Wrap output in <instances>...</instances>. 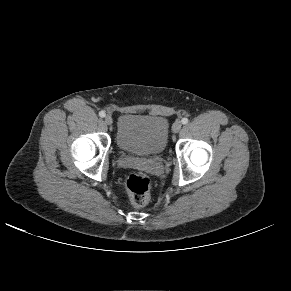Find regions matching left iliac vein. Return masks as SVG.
<instances>
[{"label":"left iliac vein","mask_w":291,"mask_h":291,"mask_svg":"<svg viewBox=\"0 0 291 291\" xmlns=\"http://www.w3.org/2000/svg\"><path fill=\"white\" fill-rule=\"evenodd\" d=\"M182 124L180 121H176L172 126V131L178 133L181 130Z\"/></svg>","instance_id":"left-iliac-vein-1"}]
</instances>
